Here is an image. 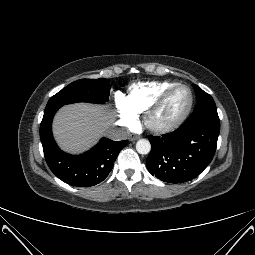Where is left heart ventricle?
Listing matches in <instances>:
<instances>
[{
	"label": "left heart ventricle",
	"instance_id": "1",
	"mask_svg": "<svg viewBox=\"0 0 255 255\" xmlns=\"http://www.w3.org/2000/svg\"><path fill=\"white\" fill-rule=\"evenodd\" d=\"M189 93L185 89L174 92L163 107L157 112L154 121L158 124H166L178 118L187 108Z\"/></svg>",
	"mask_w": 255,
	"mask_h": 255
}]
</instances>
